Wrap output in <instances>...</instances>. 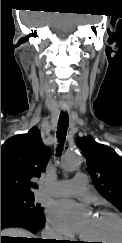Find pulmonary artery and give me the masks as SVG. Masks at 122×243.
<instances>
[{"label":"pulmonary artery","instance_id":"obj_1","mask_svg":"<svg viewBox=\"0 0 122 243\" xmlns=\"http://www.w3.org/2000/svg\"><path fill=\"white\" fill-rule=\"evenodd\" d=\"M88 184L86 175L77 172L71 180H60L53 185L43 188L42 192L48 196H70L75 194H83L87 191Z\"/></svg>","mask_w":122,"mask_h":243}]
</instances>
